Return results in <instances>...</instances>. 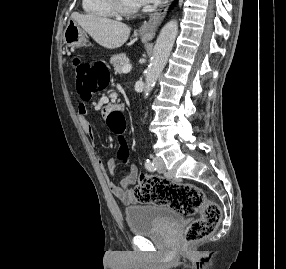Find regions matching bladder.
<instances>
[{
	"label": "bladder",
	"instance_id": "obj_1",
	"mask_svg": "<svg viewBox=\"0 0 286 269\" xmlns=\"http://www.w3.org/2000/svg\"><path fill=\"white\" fill-rule=\"evenodd\" d=\"M125 218L134 235H146L179 223L182 214L167 206L143 204L127 207Z\"/></svg>",
	"mask_w": 286,
	"mask_h": 269
}]
</instances>
